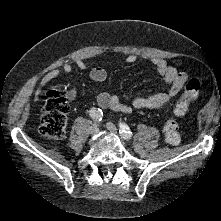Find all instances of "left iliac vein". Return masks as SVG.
Returning a JSON list of instances; mask_svg holds the SVG:
<instances>
[{
    "mask_svg": "<svg viewBox=\"0 0 221 221\" xmlns=\"http://www.w3.org/2000/svg\"><path fill=\"white\" fill-rule=\"evenodd\" d=\"M106 127H107V129H108L110 132L117 134L118 130H117V128H116V126H115L114 124L108 122V123L106 124Z\"/></svg>",
    "mask_w": 221,
    "mask_h": 221,
    "instance_id": "left-iliac-vein-1",
    "label": "left iliac vein"
}]
</instances>
